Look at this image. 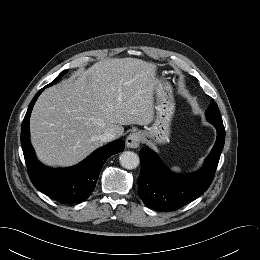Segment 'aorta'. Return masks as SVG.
<instances>
[{
    "label": "aorta",
    "instance_id": "aorta-1",
    "mask_svg": "<svg viewBox=\"0 0 260 260\" xmlns=\"http://www.w3.org/2000/svg\"><path fill=\"white\" fill-rule=\"evenodd\" d=\"M119 160L121 166L125 169H135L140 163L138 155L131 151L123 152Z\"/></svg>",
    "mask_w": 260,
    "mask_h": 260
}]
</instances>
